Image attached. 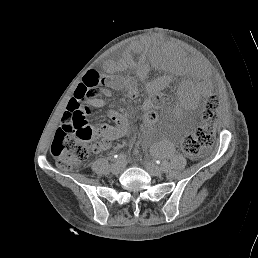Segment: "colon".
<instances>
[{
  "instance_id": "5ec220e1",
  "label": "colon",
  "mask_w": 258,
  "mask_h": 258,
  "mask_svg": "<svg viewBox=\"0 0 258 258\" xmlns=\"http://www.w3.org/2000/svg\"><path fill=\"white\" fill-rule=\"evenodd\" d=\"M103 76L96 71H89L84 76L83 83L77 88L74 98L67 107V113L62 119L51 145V153L59 168L70 170L84 162L90 152L96 147V139L100 136V129L87 121L80 102L95 93V88L102 82ZM219 100L216 96L206 99L202 119L206 126L200 127L188 135L182 142V151L191 156H200L203 151L212 146L215 134L211 124L216 120V110ZM152 121L151 116L142 119V130L148 129Z\"/></svg>"
}]
</instances>
